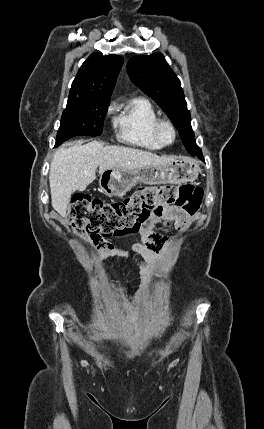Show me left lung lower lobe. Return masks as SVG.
I'll use <instances>...</instances> for the list:
<instances>
[{"mask_svg": "<svg viewBox=\"0 0 264 429\" xmlns=\"http://www.w3.org/2000/svg\"><path fill=\"white\" fill-rule=\"evenodd\" d=\"M195 154H196L198 157H201V158H202L201 150L194 151L191 155H195Z\"/></svg>", "mask_w": 264, "mask_h": 429, "instance_id": "0a47b994", "label": "left lung lower lobe"}]
</instances>
